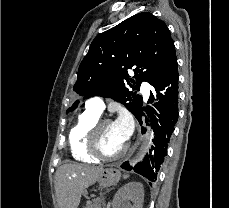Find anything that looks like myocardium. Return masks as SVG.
Segmentation results:
<instances>
[{"label":"myocardium","instance_id":"obj_1","mask_svg":"<svg viewBox=\"0 0 229 208\" xmlns=\"http://www.w3.org/2000/svg\"><path fill=\"white\" fill-rule=\"evenodd\" d=\"M113 121L106 118H99L92 123L88 130V139H89V148H85V153H91V158H101V159H108V160H116L126 155L129 150L130 144L126 143L125 146L118 152H112V157H105V152L99 151V143L98 140L102 139L101 135V128L105 124H112Z\"/></svg>","mask_w":229,"mask_h":208}]
</instances>
